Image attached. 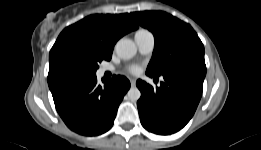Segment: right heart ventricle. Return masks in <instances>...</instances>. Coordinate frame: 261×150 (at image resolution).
I'll list each match as a JSON object with an SVG mask.
<instances>
[{
	"label": "right heart ventricle",
	"mask_w": 261,
	"mask_h": 150,
	"mask_svg": "<svg viewBox=\"0 0 261 150\" xmlns=\"http://www.w3.org/2000/svg\"><path fill=\"white\" fill-rule=\"evenodd\" d=\"M141 31H144V29L138 30L137 33H138V32H141Z\"/></svg>",
	"instance_id": "1"
}]
</instances>
